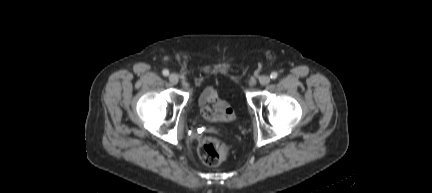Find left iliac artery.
<instances>
[{"mask_svg": "<svg viewBox=\"0 0 432 193\" xmlns=\"http://www.w3.org/2000/svg\"><path fill=\"white\" fill-rule=\"evenodd\" d=\"M277 76H278V74L276 72H272L271 75H270V78L271 79H276Z\"/></svg>", "mask_w": 432, "mask_h": 193, "instance_id": "44dca946", "label": "left iliac artery"}]
</instances>
